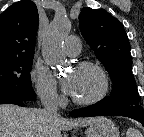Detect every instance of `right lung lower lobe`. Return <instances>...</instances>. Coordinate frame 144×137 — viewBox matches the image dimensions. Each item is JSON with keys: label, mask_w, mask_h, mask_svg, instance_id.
<instances>
[{"label": "right lung lower lobe", "mask_w": 144, "mask_h": 137, "mask_svg": "<svg viewBox=\"0 0 144 137\" xmlns=\"http://www.w3.org/2000/svg\"><path fill=\"white\" fill-rule=\"evenodd\" d=\"M0 104H16L19 106H24L22 100L13 97L0 98Z\"/></svg>", "instance_id": "98d812e1"}]
</instances>
